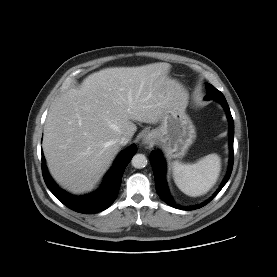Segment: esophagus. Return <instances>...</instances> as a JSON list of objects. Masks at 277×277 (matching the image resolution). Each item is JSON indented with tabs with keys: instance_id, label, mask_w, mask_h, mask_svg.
Listing matches in <instances>:
<instances>
[{
	"instance_id": "34e87169",
	"label": "esophagus",
	"mask_w": 277,
	"mask_h": 277,
	"mask_svg": "<svg viewBox=\"0 0 277 277\" xmlns=\"http://www.w3.org/2000/svg\"><path fill=\"white\" fill-rule=\"evenodd\" d=\"M142 142L143 144L151 145L153 143V139L149 135H145Z\"/></svg>"
}]
</instances>
